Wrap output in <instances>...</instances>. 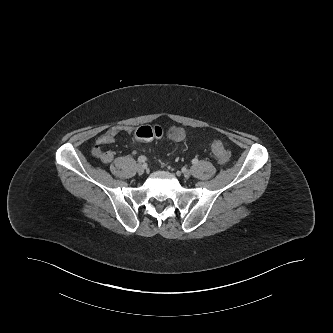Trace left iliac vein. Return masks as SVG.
<instances>
[{"label":"left iliac vein","mask_w":333,"mask_h":333,"mask_svg":"<svg viewBox=\"0 0 333 333\" xmlns=\"http://www.w3.org/2000/svg\"><path fill=\"white\" fill-rule=\"evenodd\" d=\"M183 176H184L185 178H189V177L191 176V171L188 170V169L184 170V171H183Z\"/></svg>","instance_id":"obj_1"}]
</instances>
